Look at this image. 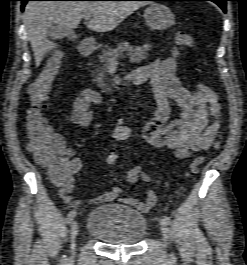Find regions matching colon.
<instances>
[{
    "mask_svg": "<svg viewBox=\"0 0 247 265\" xmlns=\"http://www.w3.org/2000/svg\"><path fill=\"white\" fill-rule=\"evenodd\" d=\"M192 48L193 37L186 32H177L175 35V47L172 58L178 61L180 49ZM63 57L60 52L50 56L38 76L29 86L31 107L27 114L26 130L28 134L27 149L37 163L47 168L52 179H65L70 172V164L63 157L64 142L60 135L54 133L47 124L45 117V101L54 78L62 67ZM118 162V154L111 152L106 157V163L114 166ZM203 162V157H196L190 164L193 173L197 172Z\"/></svg>",
    "mask_w": 247,
    "mask_h": 265,
    "instance_id": "obj_1",
    "label": "colon"
}]
</instances>
